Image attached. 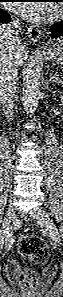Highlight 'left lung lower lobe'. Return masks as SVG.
I'll return each instance as SVG.
<instances>
[{
	"label": "left lung lower lobe",
	"instance_id": "0a47b994",
	"mask_svg": "<svg viewBox=\"0 0 63 297\" xmlns=\"http://www.w3.org/2000/svg\"><path fill=\"white\" fill-rule=\"evenodd\" d=\"M50 31H51L52 38H57V37L63 36V21H62V23L52 26Z\"/></svg>",
	"mask_w": 63,
	"mask_h": 297
}]
</instances>
